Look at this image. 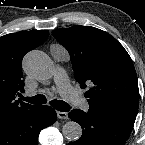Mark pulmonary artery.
<instances>
[{"label":"pulmonary artery","mask_w":145,"mask_h":145,"mask_svg":"<svg viewBox=\"0 0 145 145\" xmlns=\"http://www.w3.org/2000/svg\"><path fill=\"white\" fill-rule=\"evenodd\" d=\"M54 80L56 82L58 92L64 98H66L70 103L78 106L84 111L89 110L90 105L88 101L85 98H83L76 89L72 87L67 77V74L63 68L59 66L56 67L54 71ZM31 95H33L32 91L26 92V96H31Z\"/></svg>","instance_id":"pulmonary-artery-1"}]
</instances>
